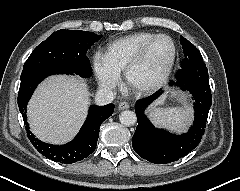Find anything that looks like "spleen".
I'll list each match as a JSON object with an SVG mask.
<instances>
[{"mask_svg": "<svg viewBox=\"0 0 240 191\" xmlns=\"http://www.w3.org/2000/svg\"><path fill=\"white\" fill-rule=\"evenodd\" d=\"M150 116L156 125L164 126L174 131L184 129L187 124L184 117L174 109H154Z\"/></svg>", "mask_w": 240, "mask_h": 191, "instance_id": "spleen-1", "label": "spleen"}]
</instances>
